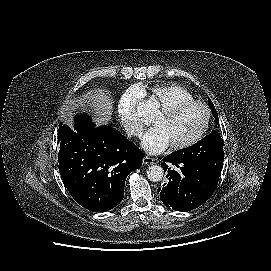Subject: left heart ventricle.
<instances>
[{
  "mask_svg": "<svg viewBox=\"0 0 271 271\" xmlns=\"http://www.w3.org/2000/svg\"><path fill=\"white\" fill-rule=\"evenodd\" d=\"M205 120L204 109L189 107L173 116L157 113L153 124L163 130L170 145H177L194 137L204 125Z\"/></svg>",
  "mask_w": 271,
  "mask_h": 271,
  "instance_id": "b2bd125f",
  "label": "left heart ventricle"
}]
</instances>
